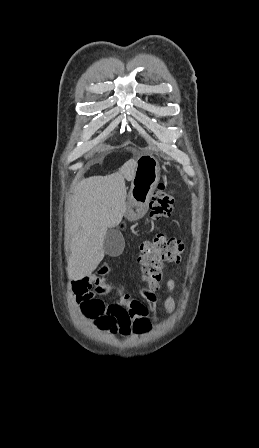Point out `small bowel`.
<instances>
[{
	"label": "small bowel",
	"mask_w": 259,
	"mask_h": 448,
	"mask_svg": "<svg viewBox=\"0 0 259 448\" xmlns=\"http://www.w3.org/2000/svg\"><path fill=\"white\" fill-rule=\"evenodd\" d=\"M107 271L108 267L102 266L98 271L72 283L74 301L83 314L96 327L111 334H142L150 330L155 321L157 295L149 289L143 292L141 300L126 293L120 294L115 302L100 298L99 294L110 290L102 278ZM167 287L172 292L175 288L174 280L169 279ZM164 307L169 314L175 312L176 303L172 295L166 298Z\"/></svg>",
	"instance_id": "c3829d8e"
}]
</instances>
